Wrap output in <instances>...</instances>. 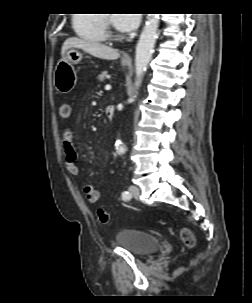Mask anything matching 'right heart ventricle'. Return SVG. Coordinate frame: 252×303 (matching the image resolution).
Masks as SVG:
<instances>
[{"mask_svg":"<svg viewBox=\"0 0 252 303\" xmlns=\"http://www.w3.org/2000/svg\"><path fill=\"white\" fill-rule=\"evenodd\" d=\"M73 25L76 32L84 38L101 41L106 36L102 14H77Z\"/></svg>","mask_w":252,"mask_h":303,"instance_id":"obj_1","label":"right heart ventricle"}]
</instances>
